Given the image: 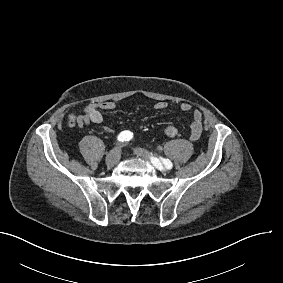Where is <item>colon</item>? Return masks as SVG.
I'll list each match as a JSON object with an SVG mask.
<instances>
[{"label": "colon", "mask_w": 283, "mask_h": 283, "mask_svg": "<svg viewBox=\"0 0 283 283\" xmlns=\"http://www.w3.org/2000/svg\"><path fill=\"white\" fill-rule=\"evenodd\" d=\"M77 123L76 115L74 113L69 115V122L67 123L68 127L74 126ZM178 134V129L174 126H169L164 130V136L167 139H172Z\"/></svg>", "instance_id": "obj_1"}]
</instances>
